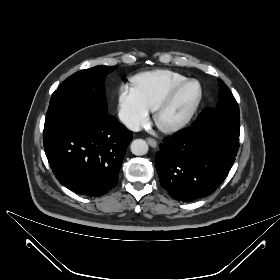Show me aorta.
<instances>
[{"instance_id": "1", "label": "aorta", "mask_w": 280, "mask_h": 280, "mask_svg": "<svg viewBox=\"0 0 280 280\" xmlns=\"http://www.w3.org/2000/svg\"><path fill=\"white\" fill-rule=\"evenodd\" d=\"M131 152L136 156L145 155L148 152V144L143 139H136L131 143Z\"/></svg>"}]
</instances>
